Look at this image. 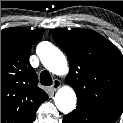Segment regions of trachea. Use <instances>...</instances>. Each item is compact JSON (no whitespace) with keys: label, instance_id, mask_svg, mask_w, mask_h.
Returning a JSON list of instances; mask_svg holds the SVG:
<instances>
[{"label":"trachea","instance_id":"obj_1","mask_svg":"<svg viewBox=\"0 0 123 123\" xmlns=\"http://www.w3.org/2000/svg\"><path fill=\"white\" fill-rule=\"evenodd\" d=\"M40 81L42 85H52V78L48 71H42L40 74Z\"/></svg>","mask_w":123,"mask_h":123}]
</instances>
